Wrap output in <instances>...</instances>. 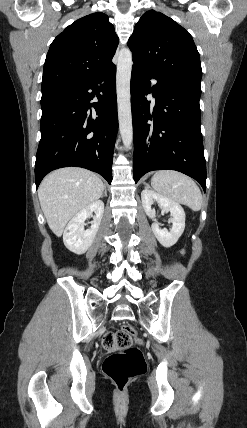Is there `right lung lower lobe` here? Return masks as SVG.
Returning <instances> with one entry per match:
<instances>
[{
    "mask_svg": "<svg viewBox=\"0 0 247 428\" xmlns=\"http://www.w3.org/2000/svg\"><path fill=\"white\" fill-rule=\"evenodd\" d=\"M93 98L98 102L91 103ZM41 108L36 189L47 173L67 166L97 172L110 184L118 129L116 66L79 87L42 94Z\"/></svg>",
    "mask_w": 247,
    "mask_h": 428,
    "instance_id": "obj_1",
    "label": "right lung lower lobe"
}]
</instances>
